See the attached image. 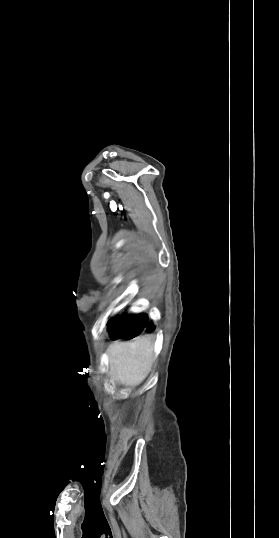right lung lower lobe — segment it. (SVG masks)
I'll use <instances>...</instances> for the list:
<instances>
[{
  "instance_id": "obj_1",
  "label": "right lung lower lobe",
  "mask_w": 279,
  "mask_h": 538,
  "mask_svg": "<svg viewBox=\"0 0 279 538\" xmlns=\"http://www.w3.org/2000/svg\"><path fill=\"white\" fill-rule=\"evenodd\" d=\"M155 329L146 315H131L114 318L108 323V332L112 339H132L138 335L152 332Z\"/></svg>"
}]
</instances>
